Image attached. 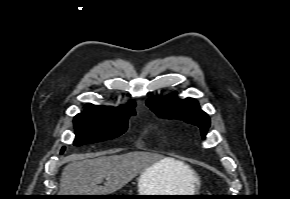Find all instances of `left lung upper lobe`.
I'll use <instances>...</instances> for the list:
<instances>
[{"mask_svg":"<svg viewBox=\"0 0 290 199\" xmlns=\"http://www.w3.org/2000/svg\"><path fill=\"white\" fill-rule=\"evenodd\" d=\"M148 107L159 117L184 120L187 123L198 126L205 138L210 127V118L199 109L198 102L192 98L177 99L176 94L162 97H152L147 100Z\"/></svg>","mask_w":290,"mask_h":199,"instance_id":"1","label":"left lung upper lobe"}]
</instances>
